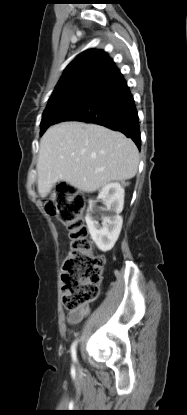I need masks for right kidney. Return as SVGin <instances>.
<instances>
[{
	"instance_id": "right-kidney-1",
	"label": "right kidney",
	"mask_w": 187,
	"mask_h": 415,
	"mask_svg": "<svg viewBox=\"0 0 187 415\" xmlns=\"http://www.w3.org/2000/svg\"><path fill=\"white\" fill-rule=\"evenodd\" d=\"M106 208L91 205L85 220L89 233L97 245L103 251L113 248L121 232L123 219L119 215L124 205V188L117 182L105 185L98 195ZM97 213L101 215L102 226L98 222Z\"/></svg>"
}]
</instances>
